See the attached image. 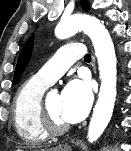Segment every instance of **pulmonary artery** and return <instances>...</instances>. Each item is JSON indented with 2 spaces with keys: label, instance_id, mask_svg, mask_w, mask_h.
Here are the masks:
<instances>
[{
  "label": "pulmonary artery",
  "instance_id": "e3ab8cb5",
  "mask_svg": "<svg viewBox=\"0 0 131 151\" xmlns=\"http://www.w3.org/2000/svg\"><path fill=\"white\" fill-rule=\"evenodd\" d=\"M84 54L85 48L83 44L77 42L65 44L39 69L35 76L47 84H52L74 62L83 58Z\"/></svg>",
  "mask_w": 131,
  "mask_h": 151
}]
</instances>
